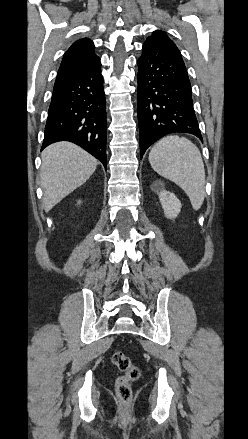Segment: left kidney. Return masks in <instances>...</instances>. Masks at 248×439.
Returning <instances> with one entry per match:
<instances>
[{"label": "left kidney", "mask_w": 248, "mask_h": 439, "mask_svg": "<svg viewBox=\"0 0 248 439\" xmlns=\"http://www.w3.org/2000/svg\"><path fill=\"white\" fill-rule=\"evenodd\" d=\"M152 188L155 192L158 193L159 200L161 202L166 218H176L180 213L182 207L179 199L173 193L164 190L163 188H159L156 183L152 185Z\"/></svg>", "instance_id": "left-kidney-1"}]
</instances>
